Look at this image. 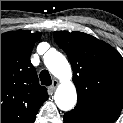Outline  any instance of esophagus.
<instances>
[{
  "mask_svg": "<svg viewBox=\"0 0 123 123\" xmlns=\"http://www.w3.org/2000/svg\"><path fill=\"white\" fill-rule=\"evenodd\" d=\"M59 82L57 79H54L52 82V85L50 86V90L54 91L56 89V87L58 86Z\"/></svg>",
  "mask_w": 123,
  "mask_h": 123,
  "instance_id": "obj_1",
  "label": "esophagus"
}]
</instances>
